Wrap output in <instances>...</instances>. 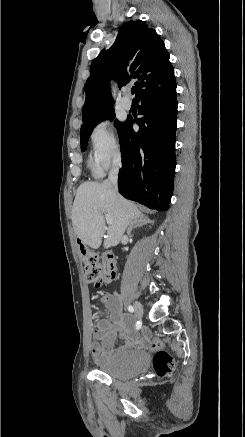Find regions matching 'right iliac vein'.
<instances>
[{"label":"right iliac vein","mask_w":245,"mask_h":437,"mask_svg":"<svg viewBox=\"0 0 245 437\" xmlns=\"http://www.w3.org/2000/svg\"><path fill=\"white\" fill-rule=\"evenodd\" d=\"M134 309L137 316L141 317L143 315V307L140 302L134 303Z\"/></svg>","instance_id":"obj_1"}]
</instances>
